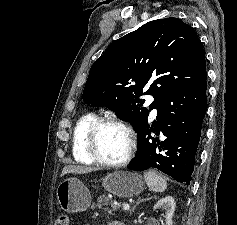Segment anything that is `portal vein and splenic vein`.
Wrapping results in <instances>:
<instances>
[{"mask_svg":"<svg viewBox=\"0 0 237 225\" xmlns=\"http://www.w3.org/2000/svg\"><path fill=\"white\" fill-rule=\"evenodd\" d=\"M130 209V205L129 204H124L123 205V210L127 211Z\"/></svg>","mask_w":237,"mask_h":225,"instance_id":"obj_1","label":"portal vein and splenic vein"}]
</instances>
